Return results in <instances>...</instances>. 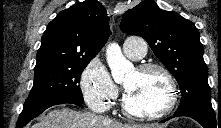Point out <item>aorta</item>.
<instances>
[{
	"instance_id": "obj_1",
	"label": "aorta",
	"mask_w": 221,
	"mask_h": 128,
	"mask_svg": "<svg viewBox=\"0 0 221 128\" xmlns=\"http://www.w3.org/2000/svg\"><path fill=\"white\" fill-rule=\"evenodd\" d=\"M106 60L115 81H122L124 76L134 70L133 64L128 61L117 43H110L106 48Z\"/></svg>"
}]
</instances>
